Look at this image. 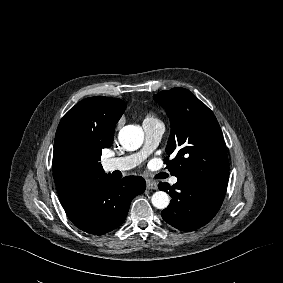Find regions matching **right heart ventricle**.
<instances>
[{"label":"right heart ventricle","instance_id":"e07e8e85","mask_svg":"<svg viewBox=\"0 0 283 283\" xmlns=\"http://www.w3.org/2000/svg\"><path fill=\"white\" fill-rule=\"evenodd\" d=\"M152 121H158V119L152 114H148L144 119V122H152Z\"/></svg>","mask_w":283,"mask_h":283}]
</instances>
